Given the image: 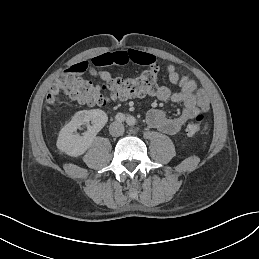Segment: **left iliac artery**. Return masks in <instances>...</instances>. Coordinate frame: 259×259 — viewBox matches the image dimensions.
<instances>
[{
    "mask_svg": "<svg viewBox=\"0 0 259 259\" xmlns=\"http://www.w3.org/2000/svg\"><path fill=\"white\" fill-rule=\"evenodd\" d=\"M126 123L129 125V126H133L135 125L136 123V119L133 117V116H128L127 119H126Z\"/></svg>",
    "mask_w": 259,
    "mask_h": 259,
    "instance_id": "1",
    "label": "left iliac artery"
}]
</instances>
